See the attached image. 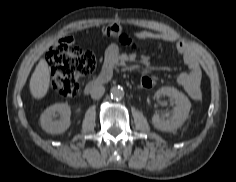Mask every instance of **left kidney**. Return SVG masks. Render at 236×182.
<instances>
[{
    "instance_id": "5707ae66",
    "label": "left kidney",
    "mask_w": 236,
    "mask_h": 182,
    "mask_svg": "<svg viewBox=\"0 0 236 182\" xmlns=\"http://www.w3.org/2000/svg\"><path fill=\"white\" fill-rule=\"evenodd\" d=\"M161 96H168L175 102V107L171 115L160 117L155 113L152 117L154 127L161 131H173L180 127L189 115L191 103L186 95L179 92L174 87H162L155 93V98L159 99Z\"/></svg>"
}]
</instances>
